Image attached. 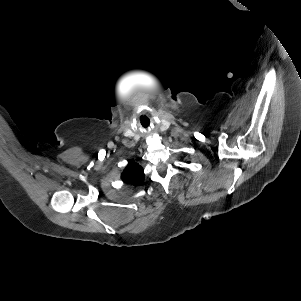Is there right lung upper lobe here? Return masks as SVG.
I'll return each mask as SVG.
<instances>
[{"mask_svg": "<svg viewBox=\"0 0 301 301\" xmlns=\"http://www.w3.org/2000/svg\"><path fill=\"white\" fill-rule=\"evenodd\" d=\"M121 179L126 184L139 186L144 180L143 168L137 163H129L121 174Z\"/></svg>", "mask_w": 301, "mask_h": 301, "instance_id": "obj_1", "label": "right lung upper lobe"}]
</instances>
